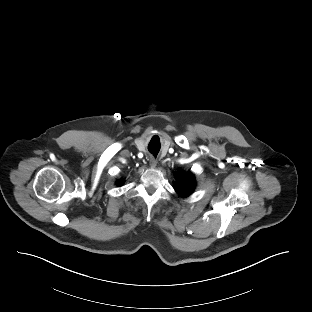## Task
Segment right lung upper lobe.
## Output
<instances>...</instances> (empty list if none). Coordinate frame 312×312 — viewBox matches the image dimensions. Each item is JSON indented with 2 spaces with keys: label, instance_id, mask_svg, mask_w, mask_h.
Returning a JSON list of instances; mask_svg holds the SVG:
<instances>
[{
  "label": "right lung upper lobe",
  "instance_id": "right-lung-upper-lobe-1",
  "mask_svg": "<svg viewBox=\"0 0 312 312\" xmlns=\"http://www.w3.org/2000/svg\"><path fill=\"white\" fill-rule=\"evenodd\" d=\"M123 180L122 179H120V180H118V182H117V184L120 186V185H122L123 184Z\"/></svg>",
  "mask_w": 312,
  "mask_h": 312
}]
</instances>
